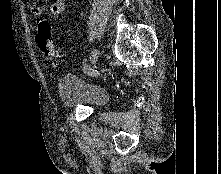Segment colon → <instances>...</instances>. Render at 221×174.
Masks as SVG:
<instances>
[{"mask_svg": "<svg viewBox=\"0 0 221 174\" xmlns=\"http://www.w3.org/2000/svg\"><path fill=\"white\" fill-rule=\"evenodd\" d=\"M36 43L47 59L55 60L60 56L54 45L52 26L46 20L40 19L37 22Z\"/></svg>", "mask_w": 221, "mask_h": 174, "instance_id": "colon-1", "label": "colon"}]
</instances>
